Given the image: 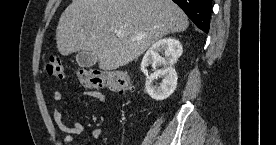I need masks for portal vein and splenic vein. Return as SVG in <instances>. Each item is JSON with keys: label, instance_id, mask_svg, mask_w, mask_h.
<instances>
[{"label": "portal vein and splenic vein", "instance_id": "portal-vein-and-splenic-vein-1", "mask_svg": "<svg viewBox=\"0 0 276 145\" xmlns=\"http://www.w3.org/2000/svg\"><path fill=\"white\" fill-rule=\"evenodd\" d=\"M116 35H117L118 37H122V36L124 35V33H123L122 31H117ZM134 39L139 40V39H141V38L136 37V38H134Z\"/></svg>", "mask_w": 276, "mask_h": 145}]
</instances>
